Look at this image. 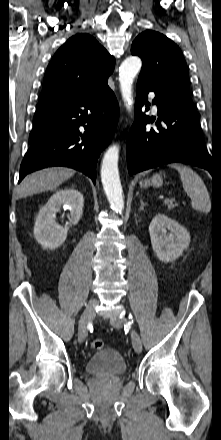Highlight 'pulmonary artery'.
Segmentation results:
<instances>
[{
    "mask_svg": "<svg viewBox=\"0 0 221 440\" xmlns=\"http://www.w3.org/2000/svg\"><path fill=\"white\" fill-rule=\"evenodd\" d=\"M153 108H154V110H155V111H157V107H156V105H154V107H153Z\"/></svg>",
    "mask_w": 221,
    "mask_h": 440,
    "instance_id": "e3ab8cb5",
    "label": "pulmonary artery"
}]
</instances>
